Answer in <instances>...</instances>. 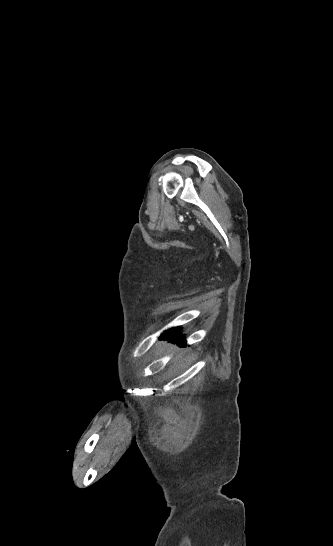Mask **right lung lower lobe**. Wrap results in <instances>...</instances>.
Listing matches in <instances>:
<instances>
[{
  "label": "right lung lower lobe",
  "instance_id": "right-lung-lower-lobe-1",
  "mask_svg": "<svg viewBox=\"0 0 333 546\" xmlns=\"http://www.w3.org/2000/svg\"><path fill=\"white\" fill-rule=\"evenodd\" d=\"M180 327H175L174 330L172 329H169L168 331H165V335L161 336L163 339H166L168 338L169 340H174L176 341L177 343L181 342V341H184V339L182 340V338H184L183 335H181L179 332H180ZM168 333H170L168 335Z\"/></svg>",
  "mask_w": 333,
  "mask_h": 546
}]
</instances>
